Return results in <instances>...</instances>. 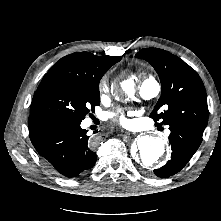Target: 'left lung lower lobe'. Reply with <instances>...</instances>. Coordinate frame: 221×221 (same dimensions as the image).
I'll return each instance as SVG.
<instances>
[{
  "instance_id": "obj_1",
  "label": "left lung lower lobe",
  "mask_w": 221,
  "mask_h": 221,
  "mask_svg": "<svg viewBox=\"0 0 221 221\" xmlns=\"http://www.w3.org/2000/svg\"><path fill=\"white\" fill-rule=\"evenodd\" d=\"M170 130L171 159L163 167L154 170L155 175L161 178L176 174L188 163L198 149L204 132L179 123L170 125Z\"/></svg>"
}]
</instances>
